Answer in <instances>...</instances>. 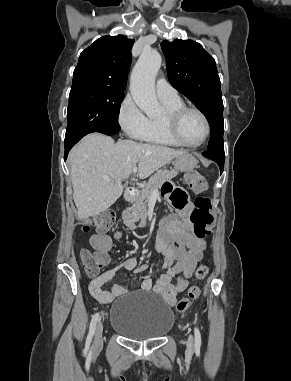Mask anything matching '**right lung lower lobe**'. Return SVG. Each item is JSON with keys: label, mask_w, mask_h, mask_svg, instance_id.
I'll return each mask as SVG.
<instances>
[{"label": "right lung lower lobe", "mask_w": 291, "mask_h": 381, "mask_svg": "<svg viewBox=\"0 0 291 381\" xmlns=\"http://www.w3.org/2000/svg\"><path fill=\"white\" fill-rule=\"evenodd\" d=\"M120 130V127L119 126H113V127H110V128H105V129H101L99 131H96V132H100V133H103V134H106V135H113V134H116L118 131ZM82 138V137H81ZM80 138V139H81ZM79 139V140H80ZM78 140V141H79ZM78 141H74V142H65V154H64V160H66L67 156H68V152L70 151V149L78 142Z\"/></svg>", "instance_id": "98d812e1"}]
</instances>
